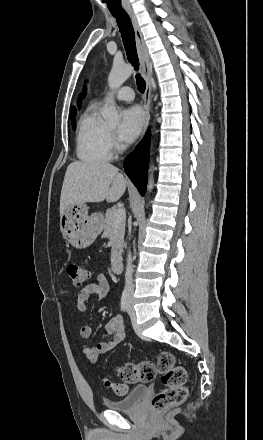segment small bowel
<instances>
[{
	"label": "small bowel",
	"mask_w": 263,
	"mask_h": 440,
	"mask_svg": "<svg viewBox=\"0 0 263 440\" xmlns=\"http://www.w3.org/2000/svg\"><path fill=\"white\" fill-rule=\"evenodd\" d=\"M111 293V286L103 274H98L94 282L84 286L77 295V309L79 312L87 311L88 300L96 295L100 300L106 299ZM106 333L110 336L108 341L98 342L94 346L83 344V353L91 362H96L103 354L108 353L119 346L125 339L124 321L121 315L117 314L110 318L105 326ZM92 335V327L84 325L80 329V341L84 343Z\"/></svg>",
	"instance_id": "1"
}]
</instances>
